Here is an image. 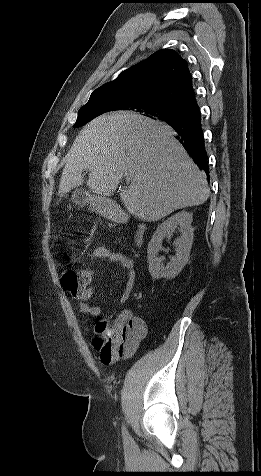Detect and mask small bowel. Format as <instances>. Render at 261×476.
<instances>
[{"mask_svg":"<svg viewBox=\"0 0 261 476\" xmlns=\"http://www.w3.org/2000/svg\"><path fill=\"white\" fill-rule=\"evenodd\" d=\"M91 256L94 259H104L117 263L127 272L128 279L120 299L123 305L127 304L136 284V273L132 259L123 253L112 251L104 246L96 247ZM89 272L92 279V273L91 271ZM89 283L73 294V296L79 302L81 312L99 318L101 316V308L89 302L95 292V288L90 286ZM111 327L119 329L121 336L108 352H100L102 362L108 365L116 364L120 360L131 357L147 333L145 321L142 318L133 316L132 312L126 308L117 313Z\"/></svg>","mask_w":261,"mask_h":476,"instance_id":"small-bowel-1","label":"small bowel"}]
</instances>
